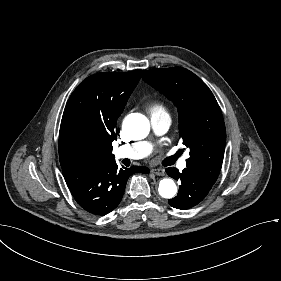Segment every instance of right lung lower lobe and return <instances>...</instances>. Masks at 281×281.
I'll return each mask as SVG.
<instances>
[{
	"instance_id": "98d812e1",
	"label": "right lung lower lobe",
	"mask_w": 281,
	"mask_h": 281,
	"mask_svg": "<svg viewBox=\"0 0 281 281\" xmlns=\"http://www.w3.org/2000/svg\"><path fill=\"white\" fill-rule=\"evenodd\" d=\"M64 179L77 203L95 215H104L120 203L127 180L135 172L149 173L143 166L118 168L113 162L61 164Z\"/></svg>"
}]
</instances>
